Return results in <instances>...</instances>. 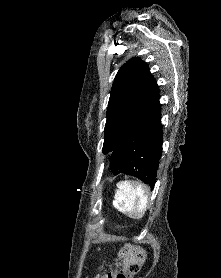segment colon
<instances>
[{
    "label": "colon",
    "instance_id": "colon-1",
    "mask_svg": "<svg viewBox=\"0 0 221 278\" xmlns=\"http://www.w3.org/2000/svg\"><path fill=\"white\" fill-rule=\"evenodd\" d=\"M143 259L132 262L126 270H121L117 273V278H129L131 275L137 273L142 267Z\"/></svg>",
    "mask_w": 221,
    "mask_h": 278
}]
</instances>
